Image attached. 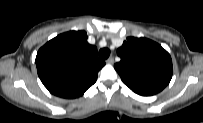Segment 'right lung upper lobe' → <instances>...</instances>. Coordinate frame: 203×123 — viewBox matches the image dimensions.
<instances>
[{
  "mask_svg": "<svg viewBox=\"0 0 203 123\" xmlns=\"http://www.w3.org/2000/svg\"><path fill=\"white\" fill-rule=\"evenodd\" d=\"M35 63L44 86L52 94L69 99L83 95L105 65L98 59L97 48L87 42L85 31L53 38L39 49Z\"/></svg>",
  "mask_w": 203,
  "mask_h": 123,
  "instance_id": "cb5924a9",
  "label": "right lung upper lobe"
}]
</instances>
